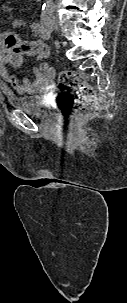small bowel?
<instances>
[{"label":"small bowel","mask_w":127,"mask_h":303,"mask_svg":"<svg viewBox=\"0 0 127 303\" xmlns=\"http://www.w3.org/2000/svg\"><path fill=\"white\" fill-rule=\"evenodd\" d=\"M23 24L21 19H14L12 26L20 27ZM33 40H24L15 31H9L0 34V77L18 94L33 93L41 89L51 87V78L53 70L48 69L45 72L35 70L34 81L25 77L19 80L15 73L9 70V67L19 69L23 66L26 59L39 60L48 59L50 51L44 41V29L42 24L34 22L30 26ZM8 39H14L15 42H9Z\"/></svg>","instance_id":"1"}]
</instances>
